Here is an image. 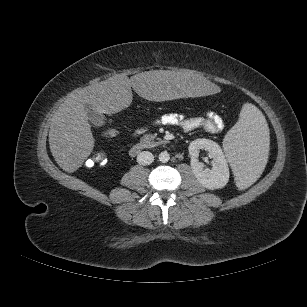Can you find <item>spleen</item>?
Instances as JSON below:
<instances>
[{
  "label": "spleen",
  "instance_id": "3e777b00",
  "mask_svg": "<svg viewBox=\"0 0 307 307\" xmlns=\"http://www.w3.org/2000/svg\"><path fill=\"white\" fill-rule=\"evenodd\" d=\"M267 141L268 126L262 112L250 103L244 104L239 120L224 139L239 188L260 177L267 161Z\"/></svg>",
  "mask_w": 307,
  "mask_h": 307
}]
</instances>
